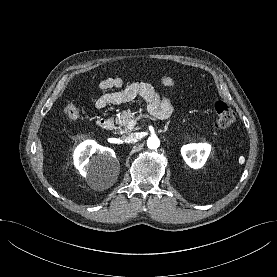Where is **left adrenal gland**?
Instances as JSON below:
<instances>
[{
  "instance_id": "obj_1",
  "label": "left adrenal gland",
  "mask_w": 277,
  "mask_h": 277,
  "mask_svg": "<svg viewBox=\"0 0 277 277\" xmlns=\"http://www.w3.org/2000/svg\"><path fill=\"white\" fill-rule=\"evenodd\" d=\"M168 125H169V123H167V124L165 125V128H164L163 132H166V131H167Z\"/></svg>"
}]
</instances>
